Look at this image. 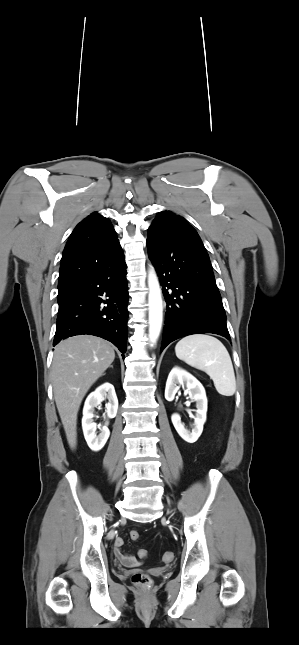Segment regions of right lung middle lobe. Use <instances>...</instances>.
<instances>
[{"instance_id": "obj_1", "label": "right lung middle lobe", "mask_w": 299, "mask_h": 645, "mask_svg": "<svg viewBox=\"0 0 299 645\" xmlns=\"http://www.w3.org/2000/svg\"><path fill=\"white\" fill-rule=\"evenodd\" d=\"M60 297H61V291H59V293H58V301H59Z\"/></svg>"}]
</instances>
